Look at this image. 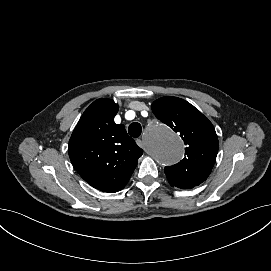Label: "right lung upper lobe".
I'll return each mask as SVG.
<instances>
[{"mask_svg": "<svg viewBox=\"0 0 271 271\" xmlns=\"http://www.w3.org/2000/svg\"><path fill=\"white\" fill-rule=\"evenodd\" d=\"M118 105L111 99L94 101L83 113L69 141L70 160L92 187L117 192L125 187L143 150L115 124Z\"/></svg>", "mask_w": 271, "mask_h": 271, "instance_id": "cb5924a9", "label": "right lung upper lobe"}]
</instances>
